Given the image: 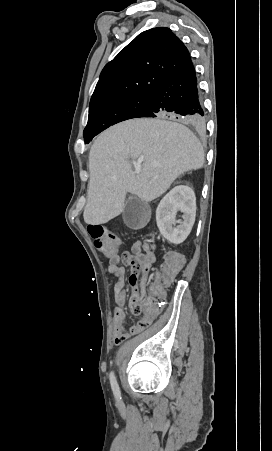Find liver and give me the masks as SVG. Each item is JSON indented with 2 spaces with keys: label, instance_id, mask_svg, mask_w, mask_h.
I'll return each instance as SVG.
<instances>
[{
  "label": "liver",
  "instance_id": "1",
  "mask_svg": "<svg viewBox=\"0 0 272 451\" xmlns=\"http://www.w3.org/2000/svg\"><path fill=\"white\" fill-rule=\"evenodd\" d=\"M178 122L176 116L135 118L98 136L89 154L90 180L83 212L86 224H106L119 216L128 192L142 202H152L181 174L202 168V144ZM139 158L140 174H134L129 160Z\"/></svg>",
  "mask_w": 272,
  "mask_h": 451
}]
</instances>
